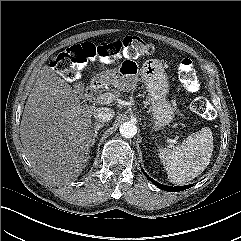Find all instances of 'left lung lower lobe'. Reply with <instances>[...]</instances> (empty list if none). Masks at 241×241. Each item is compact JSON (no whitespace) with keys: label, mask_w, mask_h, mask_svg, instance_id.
I'll return each instance as SVG.
<instances>
[{"label":"left lung lower lobe","mask_w":241,"mask_h":241,"mask_svg":"<svg viewBox=\"0 0 241 241\" xmlns=\"http://www.w3.org/2000/svg\"><path fill=\"white\" fill-rule=\"evenodd\" d=\"M144 174L147 176V174H146L145 172H144ZM147 178H148L154 185H156L157 187H159L160 189L165 190V191H169V192L182 191V190H185V189H188V188L192 187V184L186 185V186H175V187L166 186V185L159 184L158 182L154 181L152 178H150V177H148V176H147Z\"/></svg>","instance_id":"0a47b994"}]
</instances>
